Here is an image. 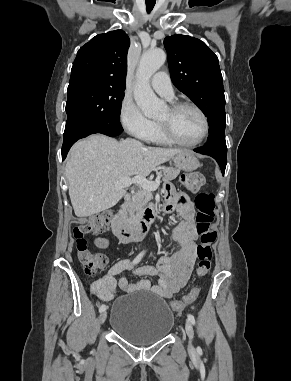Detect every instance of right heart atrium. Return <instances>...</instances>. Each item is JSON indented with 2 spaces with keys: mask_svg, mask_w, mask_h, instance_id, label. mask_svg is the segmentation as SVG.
Returning a JSON list of instances; mask_svg holds the SVG:
<instances>
[{
  "mask_svg": "<svg viewBox=\"0 0 291 381\" xmlns=\"http://www.w3.org/2000/svg\"><path fill=\"white\" fill-rule=\"evenodd\" d=\"M119 119L129 134L143 140L147 139L154 127V122L142 113L136 102L129 96H125L121 101Z\"/></svg>",
  "mask_w": 291,
  "mask_h": 381,
  "instance_id": "obj_1",
  "label": "right heart atrium"
}]
</instances>
